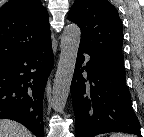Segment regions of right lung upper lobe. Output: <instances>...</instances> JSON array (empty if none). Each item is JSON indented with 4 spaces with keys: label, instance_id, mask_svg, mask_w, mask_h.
I'll return each mask as SVG.
<instances>
[{
    "label": "right lung upper lobe",
    "instance_id": "1",
    "mask_svg": "<svg viewBox=\"0 0 144 137\" xmlns=\"http://www.w3.org/2000/svg\"><path fill=\"white\" fill-rule=\"evenodd\" d=\"M50 39L40 0H9L0 8V66Z\"/></svg>",
    "mask_w": 144,
    "mask_h": 137
}]
</instances>
